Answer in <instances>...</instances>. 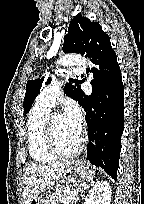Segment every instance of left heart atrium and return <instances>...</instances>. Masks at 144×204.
I'll list each match as a JSON object with an SVG mask.
<instances>
[{
	"label": "left heart atrium",
	"mask_w": 144,
	"mask_h": 204,
	"mask_svg": "<svg viewBox=\"0 0 144 204\" xmlns=\"http://www.w3.org/2000/svg\"><path fill=\"white\" fill-rule=\"evenodd\" d=\"M62 117L70 131L79 138L83 125L79 106L75 102H68L65 105Z\"/></svg>",
	"instance_id": "obj_1"
}]
</instances>
